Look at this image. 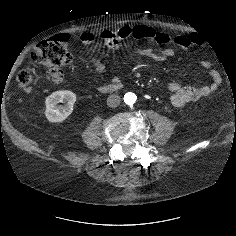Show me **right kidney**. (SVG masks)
Returning <instances> with one entry per match:
<instances>
[{"instance_id": "obj_1", "label": "right kidney", "mask_w": 236, "mask_h": 236, "mask_svg": "<svg viewBox=\"0 0 236 236\" xmlns=\"http://www.w3.org/2000/svg\"><path fill=\"white\" fill-rule=\"evenodd\" d=\"M76 94L69 90L53 92L45 100V116L50 122H62L73 111ZM59 102H67L65 106H57Z\"/></svg>"}]
</instances>
